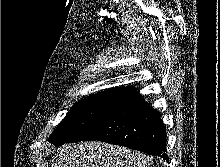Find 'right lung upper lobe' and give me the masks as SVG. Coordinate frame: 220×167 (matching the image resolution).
Returning a JSON list of instances; mask_svg holds the SVG:
<instances>
[{"mask_svg":"<svg viewBox=\"0 0 220 167\" xmlns=\"http://www.w3.org/2000/svg\"><path fill=\"white\" fill-rule=\"evenodd\" d=\"M135 90L136 89H133L131 87H129V88L128 87L127 88H112V89L102 91L98 94H95L90 98H104V99L116 100L119 97L126 95L128 93H131ZM85 99H89V98H85Z\"/></svg>","mask_w":220,"mask_h":167,"instance_id":"right-lung-upper-lobe-1","label":"right lung upper lobe"}]
</instances>
